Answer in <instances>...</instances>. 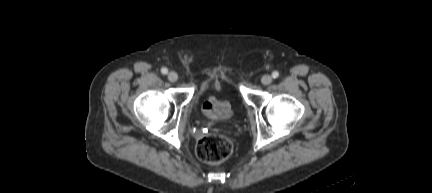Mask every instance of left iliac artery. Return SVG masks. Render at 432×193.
I'll return each instance as SVG.
<instances>
[{
	"instance_id": "left-iliac-artery-1",
	"label": "left iliac artery",
	"mask_w": 432,
	"mask_h": 193,
	"mask_svg": "<svg viewBox=\"0 0 432 193\" xmlns=\"http://www.w3.org/2000/svg\"><path fill=\"white\" fill-rule=\"evenodd\" d=\"M278 76H279V73H278L277 71H274V72L272 73V77H273V78H278Z\"/></svg>"
}]
</instances>
